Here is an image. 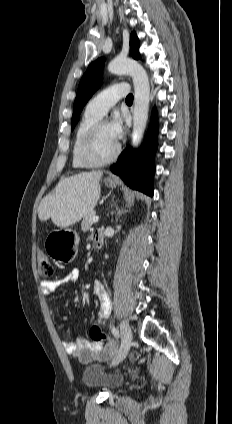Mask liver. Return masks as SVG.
I'll use <instances>...</instances> for the list:
<instances>
[{"label": "liver", "mask_w": 232, "mask_h": 424, "mask_svg": "<svg viewBox=\"0 0 232 424\" xmlns=\"http://www.w3.org/2000/svg\"><path fill=\"white\" fill-rule=\"evenodd\" d=\"M102 171L81 172L61 179L54 191L38 207L41 221L51 219L62 228L69 227L93 211L100 194Z\"/></svg>", "instance_id": "liver-1"}]
</instances>
